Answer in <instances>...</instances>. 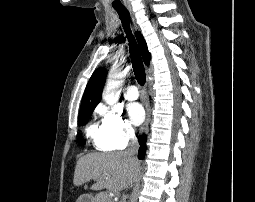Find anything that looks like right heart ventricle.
I'll use <instances>...</instances> for the list:
<instances>
[{"label": "right heart ventricle", "mask_w": 255, "mask_h": 202, "mask_svg": "<svg viewBox=\"0 0 255 202\" xmlns=\"http://www.w3.org/2000/svg\"><path fill=\"white\" fill-rule=\"evenodd\" d=\"M86 136L97 148L104 149L103 128L101 124L97 122H91L86 129Z\"/></svg>", "instance_id": "right-heart-ventricle-1"}]
</instances>
